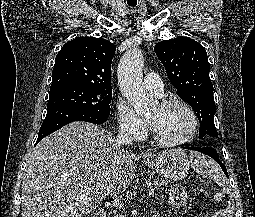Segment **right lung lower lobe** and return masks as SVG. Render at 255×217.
<instances>
[{"label": "right lung lower lobe", "instance_id": "1", "mask_svg": "<svg viewBox=\"0 0 255 217\" xmlns=\"http://www.w3.org/2000/svg\"><path fill=\"white\" fill-rule=\"evenodd\" d=\"M107 118L100 117L87 111L70 108L66 106H56L47 109L46 117L39 130L35 145L47 135L55 132L64 125L74 121H86L94 124H102Z\"/></svg>", "mask_w": 255, "mask_h": 217}]
</instances>
